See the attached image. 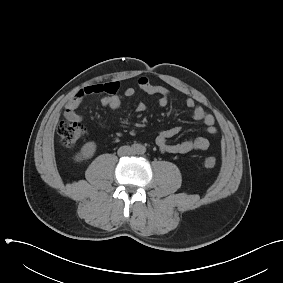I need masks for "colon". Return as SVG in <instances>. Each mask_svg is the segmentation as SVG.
Instances as JSON below:
<instances>
[{
  "mask_svg": "<svg viewBox=\"0 0 283 283\" xmlns=\"http://www.w3.org/2000/svg\"><path fill=\"white\" fill-rule=\"evenodd\" d=\"M61 143L66 148H73L84 135L85 128L79 122H61L57 129ZM217 165L215 157L207 156L203 159V166L212 169Z\"/></svg>",
  "mask_w": 283,
  "mask_h": 283,
  "instance_id": "1",
  "label": "colon"
}]
</instances>
